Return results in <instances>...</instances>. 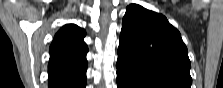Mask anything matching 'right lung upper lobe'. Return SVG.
Here are the masks:
<instances>
[{
	"label": "right lung upper lobe",
	"instance_id": "cb5924a9",
	"mask_svg": "<svg viewBox=\"0 0 223 88\" xmlns=\"http://www.w3.org/2000/svg\"><path fill=\"white\" fill-rule=\"evenodd\" d=\"M85 31L74 24L62 27L50 46L49 88H72L86 80ZM51 80V85H50Z\"/></svg>",
	"mask_w": 223,
	"mask_h": 88
}]
</instances>
